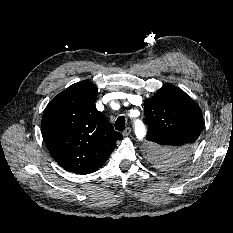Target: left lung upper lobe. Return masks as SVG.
I'll use <instances>...</instances> for the list:
<instances>
[{
    "instance_id": "left-lung-upper-lobe-1",
    "label": "left lung upper lobe",
    "mask_w": 233,
    "mask_h": 233,
    "mask_svg": "<svg viewBox=\"0 0 233 233\" xmlns=\"http://www.w3.org/2000/svg\"><path fill=\"white\" fill-rule=\"evenodd\" d=\"M147 158L162 167L181 164L193 152L203 126L199 106L180 88L165 84L145 101Z\"/></svg>"
}]
</instances>
